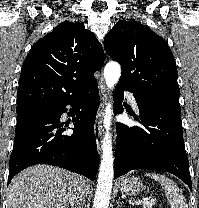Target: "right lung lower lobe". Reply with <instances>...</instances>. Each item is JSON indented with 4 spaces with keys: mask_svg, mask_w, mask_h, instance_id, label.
I'll return each instance as SVG.
<instances>
[{
    "mask_svg": "<svg viewBox=\"0 0 199 208\" xmlns=\"http://www.w3.org/2000/svg\"><path fill=\"white\" fill-rule=\"evenodd\" d=\"M99 104L95 81L75 95L17 113L7 185L18 172L35 164L58 166L94 180L99 164L94 136ZM66 105L74 107L71 135H62L67 125L60 123V117L67 112Z\"/></svg>",
    "mask_w": 199,
    "mask_h": 208,
    "instance_id": "right-lung-lower-lobe-1",
    "label": "right lung lower lobe"
}]
</instances>
